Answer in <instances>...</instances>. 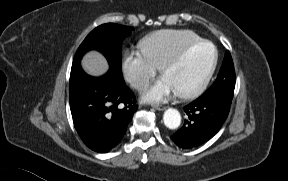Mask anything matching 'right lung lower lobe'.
Here are the masks:
<instances>
[{"label": "right lung lower lobe", "instance_id": "right-lung-lower-lobe-1", "mask_svg": "<svg viewBox=\"0 0 288 181\" xmlns=\"http://www.w3.org/2000/svg\"><path fill=\"white\" fill-rule=\"evenodd\" d=\"M70 108L85 145L105 153L120 143L138 106L123 78L109 71L92 77L80 68L70 75Z\"/></svg>", "mask_w": 288, "mask_h": 181}]
</instances>
